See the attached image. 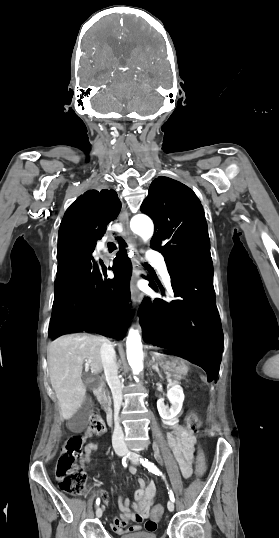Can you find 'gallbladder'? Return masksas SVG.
Segmentation results:
<instances>
[{
    "label": "gallbladder",
    "instance_id": "obj_1",
    "mask_svg": "<svg viewBox=\"0 0 279 538\" xmlns=\"http://www.w3.org/2000/svg\"><path fill=\"white\" fill-rule=\"evenodd\" d=\"M86 386L101 387L103 380L101 376H91V374H83ZM95 408V401L93 399H86L84 404L78 406L76 415H73L71 419V429L73 432L78 433L82 428H86L88 425L87 418L91 415V410Z\"/></svg>",
    "mask_w": 279,
    "mask_h": 538
}]
</instances>
